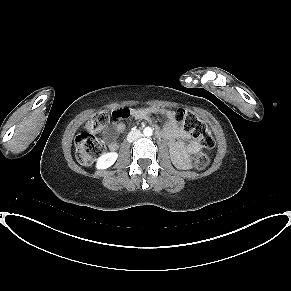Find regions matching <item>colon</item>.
<instances>
[{
  "mask_svg": "<svg viewBox=\"0 0 291 291\" xmlns=\"http://www.w3.org/2000/svg\"><path fill=\"white\" fill-rule=\"evenodd\" d=\"M130 110L124 108L113 112L95 114L84 126L83 131L76 137V156L78 162L83 166H90L105 151V146L97 139V136L105 131L111 118H128ZM174 116L179 125L188 133L193 134L206 148L211 149L215 145V140L208 130L205 122L200 120L195 114L186 109H177ZM209 163V157L204 152H199L192 156L191 165L196 170L204 169Z\"/></svg>",
  "mask_w": 291,
  "mask_h": 291,
  "instance_id": "1",
  "label": "colon"
}]
</instances>
